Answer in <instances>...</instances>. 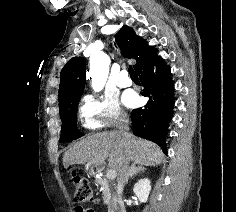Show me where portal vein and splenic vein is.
<instances>
[{"mask_svg":"<svg viewBox=\"0 0 236 212\" xmlns=\"http://www.w3.org/2000/svg\"><path fill=\"white\" fill-rule=\"evenodd\" d=\"M106 176L108 179H114L116 177V171L114 169H110Z\"/></svg>","mask_w":236,"mask_h":212,"instance_id":"1","label":"portal vein and splenic vein"}]
</instances>
